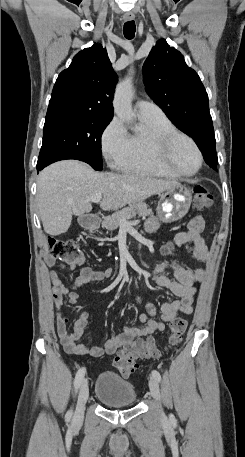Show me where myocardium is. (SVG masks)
<instances>
[{"label": "myocardium", "instance_id": "myocardium-1", "mask_svg": "<svg viewBox=\"0 0 245 457\" xmlns=\"http://www.w3.org/2000/svg\"><path fill=\"white\" fill-rule=\"evenodd\" d=\"M178 138L186 139L197 157V166L191 172H183L173 168L172 166L164 163L158 155L161 150L171 147ZM143 149L147 160L157 169L164 171L169 175L192 176L197 173L202 166L203 157L196 145V142L188 134L179 130H169L165 132L158 130L149 131L144 138Z\"/></svg>", "mask_w": 245, "mask_h": 457}]
</instances>
